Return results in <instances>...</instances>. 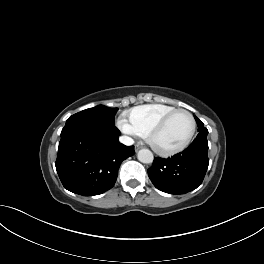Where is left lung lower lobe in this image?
<instances>
[{
    "label": "left lung lower lobe",
    "mask_w": 264,
    "mask_h": 264,
    "mask_svg": "<svg viewBox=\"0 0 264 264\" xmlns=\"http://www.w3.org/2000/svg\"><path fill=\"white\" fill-rule=\"evenodd\" d=\"M207 138H196L171 158H154L148 175L154 186L166 193L184 194L199 187L208 168Z\"/></svg>",
    "instance_id": "obj_1"
}]
</instances>
